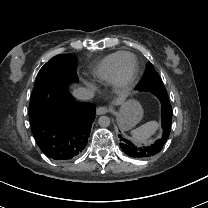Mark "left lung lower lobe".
<instances>
[{
    "label": "left lung lower lobe",
    "instance_id": "left-lung-lower-lobe-1",
    "mask_svg": "<svg viewBox=\"0 0 208 208\" xmlns=\"http://www.w3.org/2000/svg\"><path fill=\"white\" fill-rule=\"evenodd\" d=\"M162 105V138L150 145H135L130 140L119 134L121 149L132 158L145 159L159 153L165 145L171 130L172 107L169 99L159 98Z\"/></svg>",
    "mask_w": 208,
    "mask_h": 208
}]
</instances>
